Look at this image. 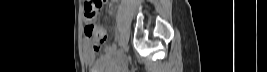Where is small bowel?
<instances>
[{
	"label": "small bowel",
	"mask_w": 267,
	"mask_h": 72,
	"mask_svg": "<svg viewBox=\"0 0 267 72\" xmlns=\"http://www.w3.org/2000/svg\"><path fill=\"white\" fill-rule=\"evenodd\" d=\"M86 22L87 24L90 23L88 20ZM85 60L90 67L91 72H110L113 66L112 59L107 54L100 58H96V54L88 39L86 40Z\"/></svg>",
	"instance_id": "1"
}]
</instances>
